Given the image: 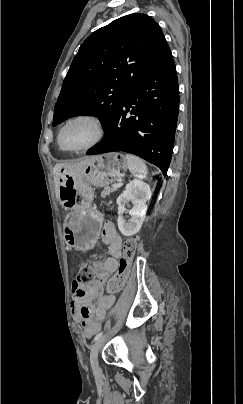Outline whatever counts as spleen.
Segmentation results:
<instances>
[{
  "mask_svg": "<svg viewBox=\"0 0 243 404\" xmlns=\"http://www.w3.org/2000/svg\"><path fill=\"white\" fill-rule=\"evenodd\" d=\"M125 160L133 176H136V178H140V180H144V178H146L148 172L144 160H141V158H137V156H131V154H126Z\"/></svg>",
  "mask_w": 243,
  "mask_h": 404,
  "instance_id": "spleen-1",
  "label": "spleen"
}]
</instances>
